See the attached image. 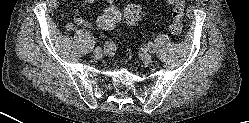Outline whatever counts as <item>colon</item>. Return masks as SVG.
<instances>
[{"mask_svg":"<svg viewBox=\"0 0 249 123\" xmlns=\"http://www.w3.org/2000/svg\"><path fill=\"white\" fill-rule=\"evenodd\" d=\"M173 5L172 21L170 30L175 36H180L183 32V17L185 0H168ZM146 15V9L138 4H128L123 11V20L127 24H136ZM121 19V13L115 6H108L98 18V25L106 30L113 29Z\"/></svg>","mask_w":249,"mask_h":123,"instance_id":"colon-1","label":"colon"}]
</instances>
